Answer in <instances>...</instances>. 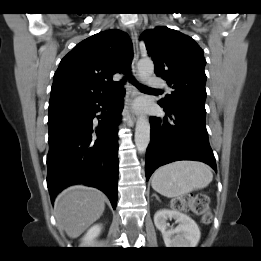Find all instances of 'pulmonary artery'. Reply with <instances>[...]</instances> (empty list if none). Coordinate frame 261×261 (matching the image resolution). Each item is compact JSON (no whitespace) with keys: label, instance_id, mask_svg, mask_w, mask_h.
<instances>
[{"label":"pulmonary artery","instance_id":"pulmonary-artery-1","mask_svg":"<svg viewBox=\"0 0 261 261\" xmlns=\"http://www.w3.org/2000/svg\"><path fill=\"white\" fill-rule=\"evenodd\" d=\"M149 85L152 89L163 90L166 88L164 80L155 77H149Z\"/></svg>","mask_w":261,"mask_h":261}]
</instances>
